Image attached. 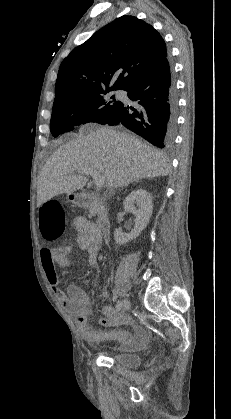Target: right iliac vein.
Masks as SVG:
<instances>
[{"mask_svg":"<svg viewBox=\"0 0 231 419\" xmlns=\"http://www.w3.org/2000/svg\"><path fill=\"white\" fill-rule=\"evenodd\" d=\"M130 305H131V303H130L129 299L125 298L122 302V311L127 312L130 308Z\"/></svg>","mask_w":231,"mask_h":419,"instance_id":"63e3f726","label":"right iliac vein"}]
</instances>
